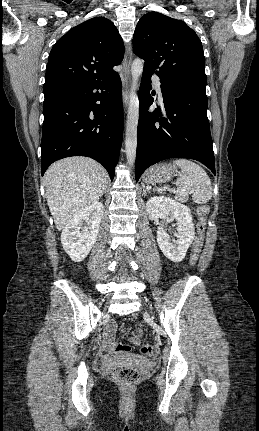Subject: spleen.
<instances>
[{
    "mask_svg": "<svg viewBox=\"0 0 259 431\" xmlns=\"http://www.w3.org/2000/svg\"><path fill=\"white\" fill-rule=\"evenodd\" d=\"M173 163L181 168V174L175 183L178 190L175 198L180 202H186L189 194H192L195 203H207L212 197V186L206 171L188 159H178Z\"/></svg>",
    "mask_w": 259,
    "mask_h": 431,
    "instance_id": "1",
    "label": "spleen"
}]
</instances>
